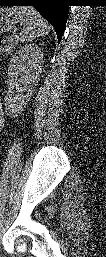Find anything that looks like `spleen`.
<instances>
[{
    "instance_id": "3e777b00",
    "label": "spleen",
    "mask_w": 106,
    "mask_h": 257,
    "mask_svg": "<svg viewBox=\"0 0 106 257\" xmlns=\"http://www.w3.org/2000/svg\"><path fill=\"white\" fill-rule=\"evenodd\" d=\"M19 20L23 22L20 32L21 41L31 42L35 38L48 34L50 27L33 7L16 8Z\"/></svg>"
}]
</instances>
